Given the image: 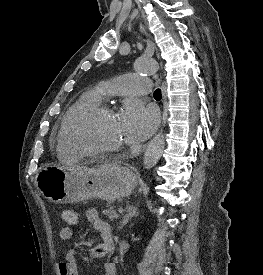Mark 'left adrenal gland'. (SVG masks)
<instances>
[{
  "instance_id": "obj_1",
  "label": "left adrenal gland",
  "mask_w": 263,
  "mask_h": 275,
  "mask_svg": "<svg viewBox=\"0 0 263 275\" xmlns=\"http://www.w3.org/2000/svg\"><path fill=\"white\" fill-rule=\"evenodd\" d=\"M127 214L123 216V220L120 222L121 226L120 228L122 229L128 222L131 220L133 217L138 216V206H133L127 204L126 206Z\"/></svg>"
}]
</instances>
